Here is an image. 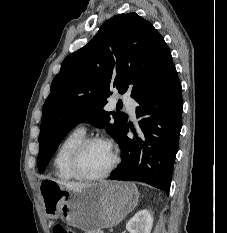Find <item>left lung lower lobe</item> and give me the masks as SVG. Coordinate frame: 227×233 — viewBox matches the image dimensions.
<instances>
[{
	"mask_svg": "<svg viewBox=\"0 0 227 233\" xmlns=\"http://www.w3.org/2000/svg\"><path fill=\"white\" fill-rule=\"evenodd\" d=\"M181 83L174 64L152 89L135 98L140 130L127 124L119 141L121 164L111 180L140 181L169 192L173 166L178 150L183 110Z\"/></svg>",
	"mask_w": 227,
	"mask_h": 233,
	"instance_id": "left-lung-lower-lobe-1",
	"label": "left lung lower lobe"
}]
</instances>
